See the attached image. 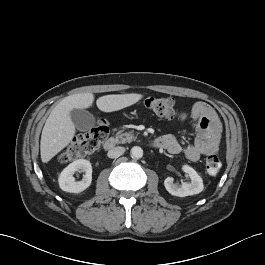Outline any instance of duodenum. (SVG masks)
I'll return each instance as SVG.
<instances>
[{
	"mask_svg": "<svg viewBox=\"0 0 265 265\" xmlns=\"http://www.w3.org/2000/svg\"><path fill=\"white\" fill-rule=\"evenodd\" d=\"M115 146H116V141H115L114 138L107 139L105 144H104V148L107 151L113 150L115 148ZM154 146L155 147H162L163 146V141H162V139L160 137L156 138L154 140Z\"/></svg>",
	"mask_w": 265,
	"mask_h": 265,
	"instance_id": "1",
	"label": "duodenum"
}]
</instances>
